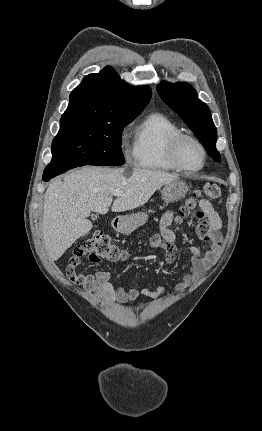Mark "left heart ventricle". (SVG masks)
<instances>
[{"mask_svg": "<svg viewBox=\"0 0 262 431\" xmlns=\"http://www.w3.org/2000/svg\"><path fill=\"white\" fill-rule=\"evenodd\" d=\"M180 160L185 167L195 169L202 163V154L193 143L186 142L180 149Z\"/></svg>", "mask_w": 262, "mask_h": 431, "instance_id": "b2bd125f", "label": "left heart ventricle"}]
</instances>
